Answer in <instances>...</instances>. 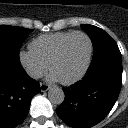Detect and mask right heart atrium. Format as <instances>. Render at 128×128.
<instances>
[{"label":"right heart atrium","mask_w":128,"mask_h":128,"mask_svg":"<svg viewBox=\"0 0 128 128\" xmlns=\"http://www.w3.org/2000/svg\"><path fill=\"white\" fill-rule=\"evenodd\" d=\"M19 61L27 74L34 79L40 78L48 69V65L30 49L19 52Z\"/></svg>","instance_id":"right-heart-atrium-1"}]
</instances>
